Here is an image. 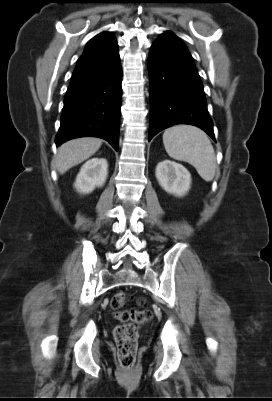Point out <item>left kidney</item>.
<instances>
[{"label":"left kidney","instance_id":"obj_1","mask_svg":"<svg viewBox=\"0 0 272 401\" xmlns=\"http://www.w3.org/2000/svg\"><path fill=\"white\" fill-rule=\"evenodd\" d=\"M155 174L160 186L169 194L181 197L190 189L191 174L181 164L164 160L157 164Z\"/></svg>","mask_w":272,"mask_h":401}]
</instances>
